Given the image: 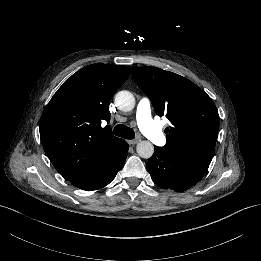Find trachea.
<instances>
[{
  "instance_id": "trachea-1",
  "label": "trachea",
  "mask_w": 261,
  "mask_h": 261,
  "mask_svg": "<svg viewBox=\"0 0 261 261\" xmlns=\"http://www.w3.org/2000/svg\"><path fill=\"white\" fill-rule=\"evenodd\" d=\"M113 134L124 139H134L135 132L132 128H129L123 124H118L113 129Z\"/></svg>"
}]
</instances>
